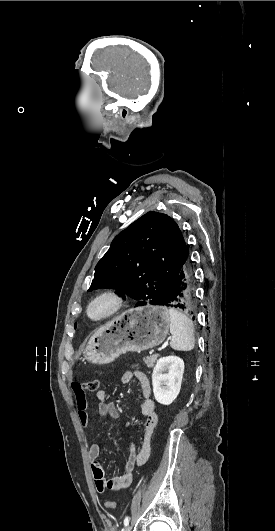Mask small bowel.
Segmentation results:
<instances>
[{
    "label": "small bowel",
    "mask_w": 275,
    "mask_h": 531,
    "mask_svg": "<svg viewBox=\"0 0 275 531\" xmlns=\"http://www.w3.org/2000/svg\"><path fill=\"white\" fill-rule=\"evenodd\" d=\"M137 379L142 397L141 402V416L144 419V435L142 447L137 451L136 446L132 440L129 441V453L126 463L121 475L113 477L110 480L104 478L103 469L99 462L101 454V447L98 443H93L88 451V458L92 464V474L95 480V487L98 493L105 491L119 492L132 483L133 470L144 464L149 457V443L151 435L158 423V412L156 402L152 398V386L148 376L142 371L127 370L121 376L123 384L130 383L133 379ZM82 383H72L70 390L71 394L77 400L76 405L79 408V418L81 425L87 427L90 424V415L88 412L89 400L81 398L85 394V387ZM96 399L98 401V412L101 416H109L112 419L120 417L119 410L113 402L107 400V392L104 389L97 391Z\"/></svg>",
    "instance_id": "c3829d8e"
}]
</instances>
